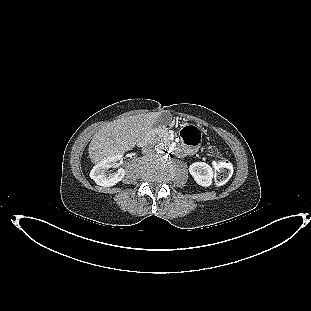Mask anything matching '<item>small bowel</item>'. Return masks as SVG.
<instances>
[{
  "mask_svg": "<svg viewBox=\"0 0 311 311\" xmlns=\"http://www.w3.org/2000/svg\"><path fill=\"white\" fill-rule=\"evenodd\" d=\"M192 129H193L194 132H198V130L196 128L192 127ZM184 143L186 145H189L186 141H184ZM182 149L184 150L183 152H191L190 150H187L186 148H182Z\"/></svg>",
  "mask_w": 311,
  "mask_h": 311,
  "instance_id": "1",
  "label": "small bowel"
}]
</instances>
